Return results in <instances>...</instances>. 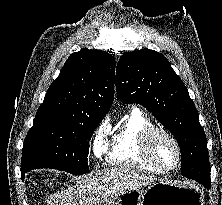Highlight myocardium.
Masks as SVG:
<instances>
[{"label": "myocardium", "mask_w": 222, "mask_h": 205, "mask_svg": "<svg viewBox=\"0 0 222 205\" xmlns=\"http://www.w3.org/2000/svg\"><path fill=\"white\" fill-rule=\"evenodd\" d=\"M156 134H161L165 136L166 138H168L174 144L176 148L177 158H176L175 164L172 167L166 168V167L161 166L153 157V154L150 148V141L152 137ZM140 149L146 161L152 167H154L156 170H158L161 173H169L176 170L179 167L182 160V149H181L179 141L170 131L162 127L152 126L146 129L145 131H143L140 136Z\"/></svg>", "instance_id": "myocardium-1"}]
</instances>
